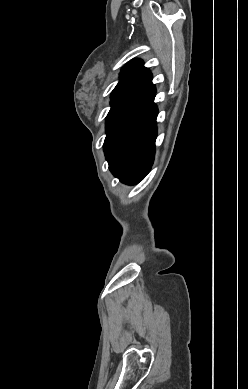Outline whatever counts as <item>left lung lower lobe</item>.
Wrapping results in <instances>:
<instances>
[{
  "label": "left lung lower lobe",
  "instance_id": "1",
  "mask_svg": "<svg viewBox=\"0 0 248 389\" xmlns=\"http://www.w3.org/2000/svg\"><path fill=\"white\" fill-rule=\"evenodd\" d=\"M149 70L110 102L104 152L113 175L133 185L150 171L155 155L158 109Z\"/></svg>",
  "mask_w": 248,
  "mask_h": 389
}]
</instances>
